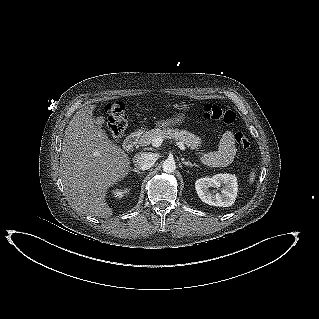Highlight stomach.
Returning <instances> with one entry per match:
<instances>
[{"label": "stomach", "mask_w": 319, "mask_h": 319, "mask_svg": "<svg viewBox=\"0 0 319 319\" xmlns=\"http://www.w3.org/2000/svg\"><path fill=\"white\" fill-rule=\"evenodd\" d=\"M185 109H180L176 112L171 118L160 119L156 122L158 127H162L163 129L181 125L185 120Z\"/></svg>", "instance_id": "1"}]
</instances>
